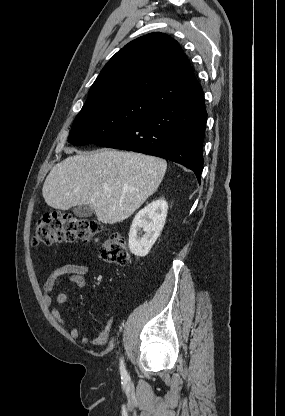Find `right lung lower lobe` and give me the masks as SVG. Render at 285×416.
<instances>
[{
    "label": "right lung lower lobe",
    "mask_w": 285,
    "mask_h": 416,
    "mask_svg": "<svg viewBox=\"0 0 285 416\" xmlns=\"http://www.w3.org/2000/svg\"><path fill=\"white\" fill-rule=\"evenodd\" d=\"M207 112L203 91L161 106L94 144L149 154L193 170L200 182Z\"/></svg>",
    "instance_id": "obj_1"
}]
</instances>
